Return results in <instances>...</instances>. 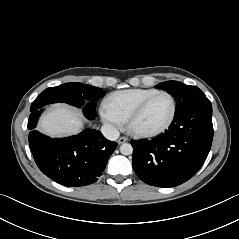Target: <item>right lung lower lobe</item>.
<instances>
[{
    "mask_svg": "<svg viewBox=\"0 0 239 239\" xmlns=\"http://www.w3.org/2000/svg\"><path fill=\"white\" fill-rule=\"evenodd\" d=\"M38 117H29L28 128L30 149L39 169L65 186L79 187L96 182L117 143L91 129L78 135L51 139L34 130Z\"/></svg>",
    "mask_w": 239,
    "mask_h": 239,
    "instance_id": "1",
    "label": "right lung lower lobe"
}]
</instances>
